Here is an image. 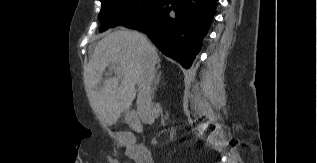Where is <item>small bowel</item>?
<instances>
[{"mask_svg":"<svg viewBox=\"0 0 317 163\" xmlns=\"http://www.w3.org/2000/svg\"><path fill=\"white\" fill-rule=\"evenodd\" d=\"M123 139L126 141L125 138ZM127 155L136 163H153V159L150 153L147 156L139 157L135 154L130 144L127 145Z\"/></svg>","mask_w":317,"mask_h":163,"instance_id":"1","label":"small bowel"}]
</instances>
